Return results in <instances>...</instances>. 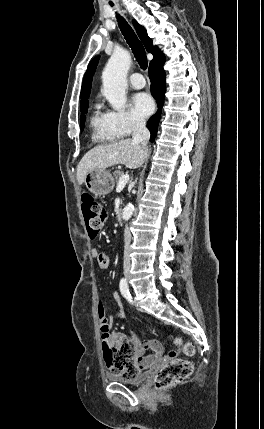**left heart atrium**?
Wrapping results in <instances>:
<instances>
[{
	"mask_svg": "<svg viewBox=\"0 0 264 429\" xmlns=\"http://www.w3.org/2000/svg\"><path fill=\"white\" fill-rule=\"evenodd\" d=\"M132 110L141 118L149 116L154 110L152 98L144 92L135 94L132 99Z\"/></svg>",
	"mask_w": 264,
	"mask_h": 429,
	"instance_id": "obj_1",
	"label": "left heart atrium"
}]
</instances>
